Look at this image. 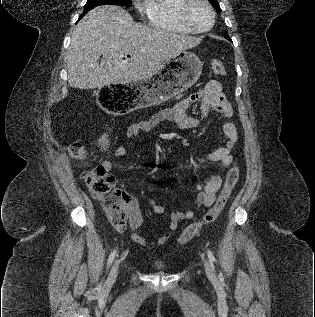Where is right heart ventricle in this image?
Listing matches in <instances>:
<instances>
[{
  "mask_svg": "<svg viewBox=\"0 0 315 317\" xmlns=\"http://www.w3.org/2000/svg\"><path fill=\"white\" fill-rule=\"evenodd\" d=\"M182 0H149L146 8L148 23L157 29L192 34L180 21L178 10Z\"/></svg>",
  "mask_w": 315,
  "mask_h": 317,
  "instance_id": "obj_1",
  "label": "right heart ventricle"
}]
</instances>
